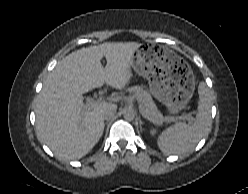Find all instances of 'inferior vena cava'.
<instances>
[{"mask_svg":"<svg viewBox=\"0 0 248 194\" xmlns=\"http://www.w3.org/2000/svg\"><path fill=\"white\" fill-rule=\"evenodd\" d=\"M117 107L116 106H110L104 111V119L110 120L112 119L116 114Z\"/></svg>","mask_w":248,"mask_h":194,"instance_id":"inferior-vena-cava-1","label":"inferior vena cava"}]
</instances>
